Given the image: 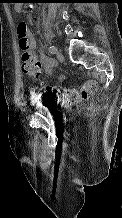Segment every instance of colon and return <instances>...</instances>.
<instances>
[{
  "label": "colon",
  "instance_id": "1",
  "mask_svg": "<svg viewBox=\"0 0 122 218\" xmlns=\"http://www.w3.org/2000/svg\"><path fill=\"white\" fill-rule=\"evenodd\" d=\"M17 38L21 51V62L23 67L34 74L39 70V63L31 51V36L25 22H19L17 25ZM97 82L93 79L84 81L77 89H56L63 100L67 103H76L92 97L97 91Z\"/></svg>",
  "mask_w": 122,
  "mask_h": 218
}]
</instances>
